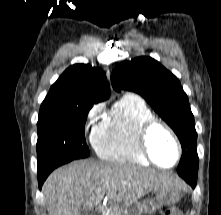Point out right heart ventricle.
Segmentation results:
<instances>
[{"instance_id":"right-heart-ventricle-1","label":"right heart ventricle","mask_w":221,"mask_h":215,"mask_svg":"<svg viewBox=\"0 0 221 215\" xmlns=\"http://www.w3.org/2000/svg\"><path fill=\"white\" fill-rule=\"evenodd\" d=\"M154 114L139 96L125 95L107 111L92 134V145L105 160L147 166L136 143L140 126Z\"/></svg>"}]
</instances>
